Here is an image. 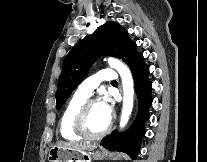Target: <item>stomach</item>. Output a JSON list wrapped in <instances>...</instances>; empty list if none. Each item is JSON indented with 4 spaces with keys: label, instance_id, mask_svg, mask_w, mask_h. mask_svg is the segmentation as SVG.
Segmentation results:
<instances>
[{
    "label": "stomach",
    "instance_id": "0dacf381",
    "mask_svg": "<svg viewBox=\"0 0 207 162\" xmlns=\"http://www.w3.org/2000/svg\"><path fill=\"white\" fill-rule=\"evenodd\" d=\"M107 156V153L100 149L95 151H73L70 149L54 146L49 150V162H90L89 160H102Z\"/></svg>",
    "mask_w": 207,
    "mask_h": 162
}]
</instances>
